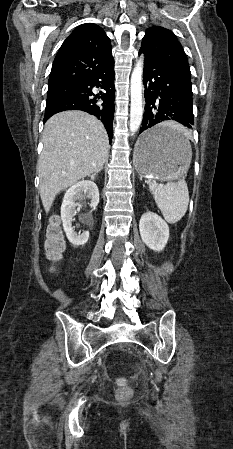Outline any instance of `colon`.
I'll return each instance as SVG.
<instances>
[{
	"instance_id": "obj_1",
	"label": "colon",
	"mask_w": 233,
	"mask_h": 449,
	"mask_svg": "<svg viewBox=\"0 0 233 449\" xmlns=\"http://www.w3.org/2000/svg\"><path fill=\"white\" fill-rule=\"evenodd\" d=\"M63 240L60 231L57 227H53L48 232V237L46 240V249L48 256L51 259H58L63 251ZM131 395V389L125 385L121 384L117 389V397L120 400L128 399Z\"/></svg>"
}]
</instances>
